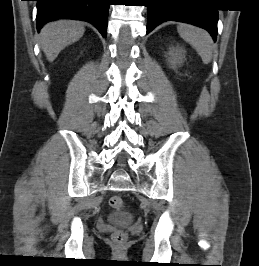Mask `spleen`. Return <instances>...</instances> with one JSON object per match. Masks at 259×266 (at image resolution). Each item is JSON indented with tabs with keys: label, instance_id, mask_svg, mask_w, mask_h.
<instances>
[{
	"label": "spleen",
	"instance_id": "spleen-1",
	"mask_svg": "<svg viewBox=\"0 0 259 266\" xmlns=\"http://www.w3.org/2000/svg\"><path fill=\"white\" fill-rule=\"evenodd\" d=\"M177 30L182 39L197 51L203 63H210L212 58V39L210 35L203 29L187 24H180Z\"/></svg>",
	"mask_w": 259,
	"mask_h": 266
}]
</instances>
